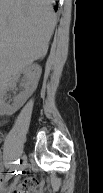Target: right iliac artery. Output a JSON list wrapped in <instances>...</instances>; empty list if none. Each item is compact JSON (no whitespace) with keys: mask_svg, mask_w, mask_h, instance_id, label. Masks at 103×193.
Returning <instances> with one entry per match:
<instances>
[{"mask_svg":"<svg viewBox=\"0 0 103 193\" xmlns=\"http://www.w3.org/2000/svg\"><path fill=\"white\" fill-rule=\"evenodd\" d=\"M19 163H20V159H18L17 161H15L13 163V165L11 166V168L9 169V171L6 175L7 179H10L12 177V175L16 173V170H17V167H18Z\"/></svg>","mask_w":103,"mask_h":193,"instance_id":"obj_1","label":"right iliac artery"}]
</instances>
